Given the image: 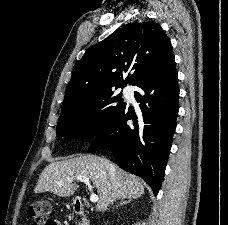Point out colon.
<instances>
[{
    "mask_svg": "<svg viewBox=\"0 0 228 225\" xmlns=\"http://www.w3.org/2000/svg\"><path fill=\"white\" fill-rule=\"evenodd\" d=\"M27 213L37 225H57L50 218V203L46 200H36L29 203Z\"/></svg>",
    "mask_w": 228,
    "mask_h": 225,
    "instance_id": "obj_1",
    "label": "colon"
}]
</instances>
